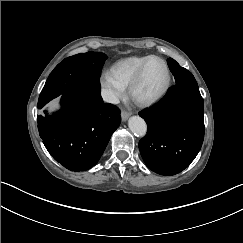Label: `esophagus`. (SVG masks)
I'll return each instance as SVG.
<instances>
[{"mask_svg":"<svg viewBox=\"0 0 243 243\" xmlns=\"http://www.w3.org/2000/svg\"><path fill=\"white\" fill-rule=\"evenodd\" d=\"M129 117H130V113L129 112H126V111H122L121 112L122 121L125 122Z\"/></svg>","mask_w":243,"mask_h":243,"instance_id":"esophagus-1","label":"esophagus"}]
</instances>
